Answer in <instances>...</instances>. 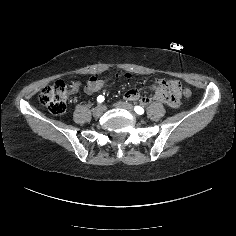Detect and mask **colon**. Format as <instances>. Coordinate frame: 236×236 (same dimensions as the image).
Wrapping results in <instances>:
<instances>
[{"mask_svg": "<svg viewBox=\"0 0 236 236\" xmlns=\"http://www.w3.org/2000/svg\"><path fill=\"white\" fill-rule=\"evenodd\" d=\"M116 77H118V75H116ZM125 77H129V75L127 74ZM174 86L181 89L184 97L191 96V90L189 88L183 87L177 82L174 83ZM67 96L68 86L64 81L59 80L41 91L39 101L52 114L61 115L66 110Z\"/></svg>", "mask_w": 236, "mask_h": 236, "instance_id": "colon-1", "label": "colon"}]
</instances>
